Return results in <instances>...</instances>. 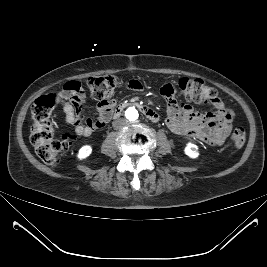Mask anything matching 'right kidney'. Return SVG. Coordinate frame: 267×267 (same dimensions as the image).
Returning <instances> with one entry per match:
<instances>
[{"mask_svg": "<svg viewBox=\"0 0 267 267\" xmlns=\"http://www.w3.org/2000/svg\"><path fill=\"white\" fill-rule=\"evenodd\" d=\"M92 152V147L90 145H84L78 152L77 157L82 160L87 158Z\"/></svg>", "mask_w": 267, "mask_h": 267, "instance_id": "ca27d5eb", "label": "right kidney"}]
</instances>
